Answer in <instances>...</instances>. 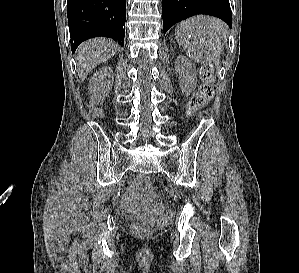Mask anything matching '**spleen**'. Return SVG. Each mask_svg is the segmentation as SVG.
Wrapping results in <instances>:
<instances>
[{
	"label": "spleen",
	"instance_id": "obj_1",
	"mask_svg": "<svg viewBox=\"0 0 299 273\" xmlns=\"http://www.w3.org/2000/svg\"><path fill=\"white\" fill-rule=\"evenodd\" d=\"M227 25L218 18L194 16L176 25L175 38L198 64L216 61L226 44Z\"/></svg>",
	"mask_w": 299,
	"mask_h": 273
}]
</instances>
